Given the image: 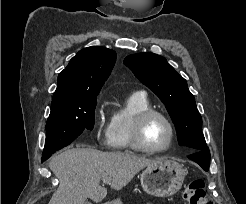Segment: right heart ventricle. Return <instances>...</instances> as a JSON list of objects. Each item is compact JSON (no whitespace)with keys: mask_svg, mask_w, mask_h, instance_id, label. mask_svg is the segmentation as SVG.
<instances>
[{"mask_svg":"<svg viewBox=\"0 0 246 204\" xmlns=\"http://www.w3.org/2000/svg\"><path fill=\"white\" fill-rule=\"evenodd\" d=\"M151 108V103L144 93H134L123 107L114 110L106 129V145L112 150L133 149L131 130L135 117Z\"/></svg>","mask_w":246,"mask_h":204,"instance_id":"obj_1","label":"right heart ventricle"}]
</instances>
